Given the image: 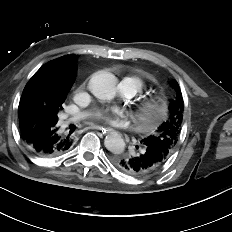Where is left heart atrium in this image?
<instances>
[{"label": "left heart atrium", "instance_id": "39dd6f15", "mask_svg": "<svg viewBox=\"0 0 232 232\" xmlns=\"http://www.w3.org/2000/svg\"><path fill=\"white\" fill-rule=\"evenodd\" d=\"M122 113L120 111H103L98 114V119L106 124L114 125L119 122Z\"/></svg>", "mask_w": 232, "mask_h": 232}]
</instances>
